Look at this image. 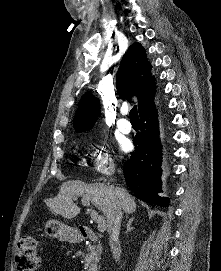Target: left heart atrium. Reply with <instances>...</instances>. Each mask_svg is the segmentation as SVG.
I'll list each match as a JSON object with an SVG mask.
<instances>
[{"label": "left heart atrium", "instance_id": "left-heart-atrium-1", "mask_svg": "<svg viewBox=\"0 0 221 271\" xmlns=\"http://www.w3.org/2000/svg\"><path fill=\"white\" fill-rule=\"evenodd\" d=\"M121 147L123 150H128L130 147V143L128 141H125L122 143Z\"/></svg>", "mask_w": 221, "mask_h": 271}]
</instances>
